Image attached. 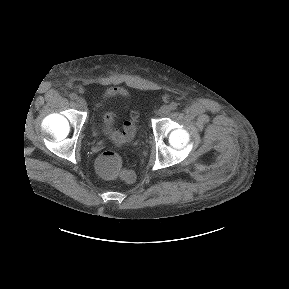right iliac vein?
Wrapping results in <instances>:
<instances>
[{"instance_id": "right-iliac-vein-1", "label": "right iliac vein", "mask_w": 289, "mask_h": 289, "mask_svg": "<svg viewBox=\"0 0 289 289\" xmlns=\"http://www.w3.org/2000/svg\"><path fill=\"white\" fill-rule=\"evenodd\" d=\"M76 104H77L81 109L86 108V105H87L85 99H83L82 97H77V99H76Z\"/></svg>"}]
</instances>
